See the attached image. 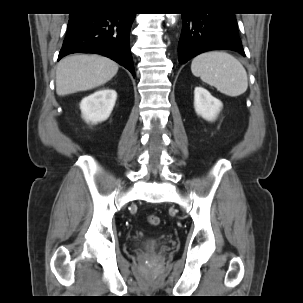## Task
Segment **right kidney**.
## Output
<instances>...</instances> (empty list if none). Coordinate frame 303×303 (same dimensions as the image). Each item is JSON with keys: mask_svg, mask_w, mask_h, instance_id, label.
I'll return each instance as SVG.
<instances>
[{"mask_svg": "<svg viewBox=\"0 0 303 303\" xmlns=\"http://www.w3.org/2000/svg\"><path fill=\"white\" fill-rule=\"evenodd\" d=\"M117 93L113 89H101L84 97L80 103L82 117L86 122L97 124L110 116Z\"/></svg>", "mask_w": 303, "mask_h": 303, "instance_id": "ca27d5eb", "label": "right kidney"}]
</instances>
